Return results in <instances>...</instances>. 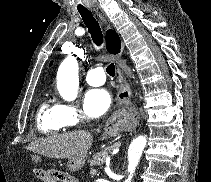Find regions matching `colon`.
Masks as SVG:
<instances>
[{"label": "colon", "instance_id": "colon-1", "mask_svg": "<svg viewBox=\"0 0 211 182\" xmlns=\"http://www.w3.org/2000/svg\"><path fill=\"white\" fill-rule=\"evenodd\" d=\"M44 177L43 180L45 182H67L68 181V174L58 171V170H43ZM40 177V173L38 174Z\"/></svg>", "mask_w": 211, "mask_h": 182}]
</instances>
